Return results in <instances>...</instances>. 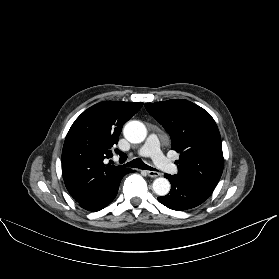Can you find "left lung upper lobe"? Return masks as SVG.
<instances>
[{
	"instance_id": "5c2ea615",
	"label": "left lung upper lobe",
	"mask_w": 279,
	"mask_h": 279,
	"mask_svg": "<svg viewBox=\"0 0 279 279\" xmlns=\"http://www.w3.org/2000/svg\"><path fill=\"white\" fill-rule=\"evenodd\" d=\"M145 108L169 133L172 149L180 153L175 176L212 193L224 159L221 136L211 115L182 99L146 103Z\"/></svg>"
}]
</instances>
